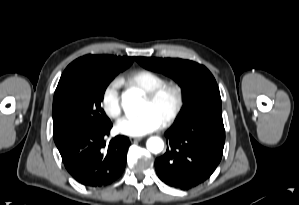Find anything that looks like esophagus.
I'll return each instance as SVG.
<instances>
[{
	"label": "esophagus",
	"instance_id": "obj_1",
	"mask_svg": "<svg viewBox=\"0 0 299 205\" xmlns=\"http://www.w3.org/2000/svg\"><path fill=\"white\" fill-rule=\"evenodd\" d=\"M129 139L131 142H137V141L142 140V137H130Z\"/></svg>",
	"mask_w": 299,
	"mask_h": 205
}]
</instances>
